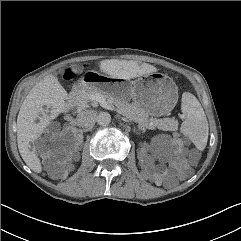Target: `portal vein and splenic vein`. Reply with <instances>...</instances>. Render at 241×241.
Wrapping results in <instances>:
<instances>
[{"label":"portal vein and splenic vein","mask_w":241,"mask_h":241,"mask_svg":"<svg viewBox=\"0 0 241 241\" xmlns=\"http://www.w3.org/2000/svg\"><path fill=\"white\" fill-rule=\"evenodd\" d=\"M97 101L101 103V105L107 109H112V107L101 97H96Z\"/></svg>","instance_id":"obj_1"}]
</instances>
